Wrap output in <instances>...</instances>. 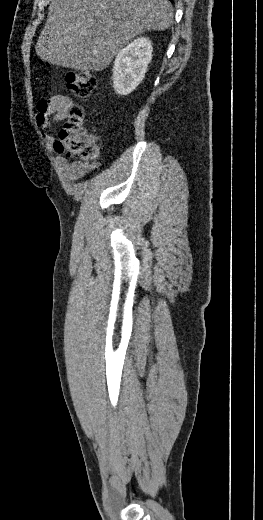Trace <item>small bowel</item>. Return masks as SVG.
<instances>
[{
  "label": "small bowel",
  "mask_w": 263,
  "mask_h": 520,
  "mask_svg": "<svg viewBox=\"0 0 263 520\" xmlns=\"http://www.w3.org/2000/svg\"><path fill=\"white\" fill-rule=\"evenodd\" d=\"M72 105L73 100L71 97L60 94L40 99L37 103V113L35 115L36 125L42 130V135L46 143L55 151H57L55 148V140L48 133L51 121L61 122L67 119L69 116V108ZM89 137L93 141H97L95 135L91 134ZM55 162L66 178L70 181H77L98 166V162H69L61 155L55 157Z\"/></svg>",
  "instance_id": "obj_1"
}]
</instances>
